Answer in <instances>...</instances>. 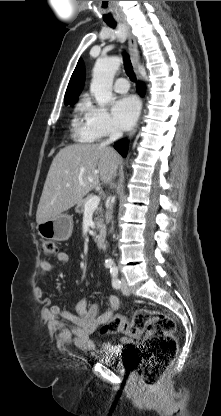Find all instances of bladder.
<instances>
[{
	"instance_id": "1",
	"label": "bladder",
	"mask_w": 221,
	"mask_h": 416,
	"mask_svg": "<svg viewBox=\"0 0 221 416\" xmlns=\"http://www.w3.org/2000/svg\"><path fill=\"white\" fill-rule=\"evenodd\" d=\"M114 356L115 355L113 353L104 350L102 352V363L107 365V366H113L117 370H122L125 366L124 365H116L114 363Z\"/></svg>"
}]
</instances>
